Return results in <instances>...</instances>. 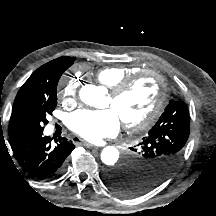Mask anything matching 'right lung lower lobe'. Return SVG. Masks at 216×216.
Segmentation results:
<instances>
[{
  "label": "right lung lower lobe",
  "mask_w": 216,
  "mask_h": 216,
  "mask_svg": "<svg viewBox=\"0 0 216 216\" xmlns=\"http://www.w3.org/2000/svg\"><path fill=\"white\" fill-rule=\"evenodd\" d=\"M51 140V137L43 135V131H32L22 133L10 142L20 166L37 179L49 180L59 175L66 158L75 148L65 138L55 139V145Z\"/></svg>",
  "instance_id": "98d812e1"
}]
</instances>
